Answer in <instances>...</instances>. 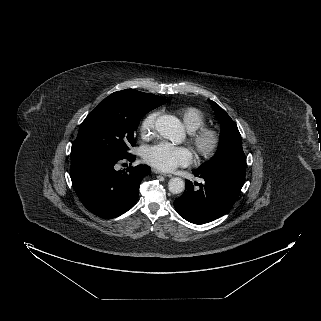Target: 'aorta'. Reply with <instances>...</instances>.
I'll return each mask as SVG.
<instances>
[{"label": "aorta", "instance_id": "762f6f07", "mask_svg": "<svg viewBox=\"0 0 321 321\" xmlns=\"http://www.w3.org/2000/svg\"><path fill=\"white\" fill-rule=\"evenodd\" d=\"M157 132L165 139L178 143L182 140L184 131L180 121L169 115H163L157 118L155 123ZM185 188L184 181L179 177H173L168 182V189L172 194H179Z\"/></svg>", "mask_w": 321, "mask_h": 321}]
</instances>
